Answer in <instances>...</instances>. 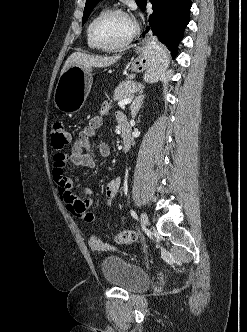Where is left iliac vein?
Segmentation results:
<instances>
[{"instance_id":"left-iliac-vein-1","label":"left iliac vein","mask_w":247,"mask_h":332,"mask_svg":"<svg viewBox=\"0 0 247 332\" xmlns=\"http://www.w3.org/2000/svg\"><path fill=\"white\" fill-rule=\"evenodd\" d=\"M141 222H142V224H143L144 227H146L148 225V223H149L148 216H147V214L145 212H143L141 214Z\"/></svg>"}]
</instances>
